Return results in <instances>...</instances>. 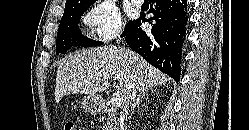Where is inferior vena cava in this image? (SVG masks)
I'll list each match as a JSON object with an SVG mask.
<instances>
[{"label": "inferior vena cava", "instance_id": "1", "mask_svg": "<svg viewBox=\"0 0 249 130\" xmlns=\"http://www.w3.org/2000/svg\"><path fill=\"white\" fill-rule=\"evenodd\" d=\"M135 96H136V89L131 88L129 94L127 95V97L125 98V100L123 102V109L121 111L120 119H119V125H120L119 130H126V121H127V118H128V109H129L131 100Z\"/></svg>", "mask_w": 249, "mask_h": 130}]
</instances>
